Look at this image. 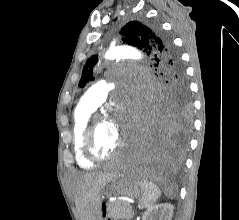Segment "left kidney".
<instances>
[{"label":"left kidney","mask_w":239,"mask_h":220,"mask_svg":"<svg viewBox=\"0 0 239 220\" xmlns=\"http://www.w3.org/2000/svg\"><path fill=\"white\" fill-rule=\"evenodd\" d=\"M174 206L163 203L150 206L142 216V220H172Z\"/></svg>","instance_id":"1"}]
</instances>
